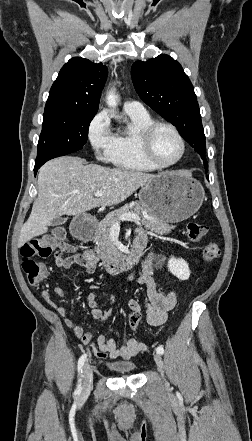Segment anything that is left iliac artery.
I'll use <instances>...</instances> for the list:
<instances>
[{"instance_id": "1", "label": "left iliac artery", "mask_w": 252, "mask_h": 441, "mask_svg": "<svg viewBox=\"0 0 252 441\" xmlns=\"http://www.w3.org/2000/svg\"><path fill=\"white\" fill-rule=\"evenodd\" d=\"M156 351H157L158 354H163L164 353V348L162 346H158L156 348Z\"/></svg>"}]
</instances>
